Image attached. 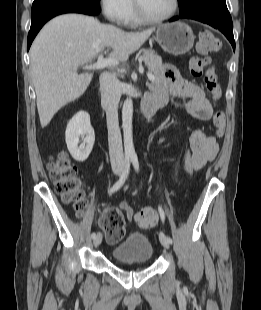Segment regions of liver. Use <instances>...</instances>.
Segmentation results:
<instances>
[{
	"instance_id": "1",
	"label": "liver",
	"mask_w": 261,
	"mask_h": 310,
	"mask_svg": "<svg viewBox=\"0 0 261 310\" xmlns=\"http://www.w3.org/2000/svg\"><path fill=\"white\" fill-rule=\"evenodd\" d=\"M154 29L125 32L82 14H64L49 21L30 49L31 77L42 128L66 104L87 90L93 75L78 74L80 65L95 59L106 47L108 58L127 61Z\"/></svg>"
}]
</instances>
